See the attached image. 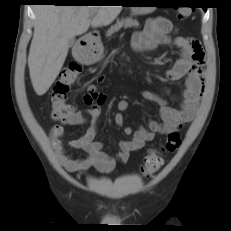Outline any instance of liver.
<instances>
[{
	"label": "liver",
	"mask_w": 231,
	"mask_h": 231,
	"mask_svg": "<svg viewBox=\"0 0 231 231\" xmlns=\"http://www.w3.org/2000/svg\"><path fill=\"white\" fill-rule=\"evenodd\" d=\"M122 6L37 5L28 66L37 95L45 94L57 78L68 54L69 41L90 27L111 24ZM95 14L92 20L91 15Z\"/></svg>",
	"instance_id": "obj_1"
}]
</instances>
